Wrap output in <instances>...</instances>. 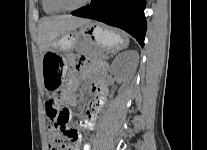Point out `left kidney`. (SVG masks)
<instances>
[{"label": "left kidney", "mask_w": 207, "mask_h": 150, "mask_svg": "<svg viewBox=\"0 0 207 150\" xmlns=\"http://www.w3.org/2000/svg\"><path fill=\"white\" fill-rule=\"evenodd\" d=\"M139 55L131 50L119 54L111 65V73L121 76L125 83L128 82L136 71ZM123 68V70H121Z\"/></svg>", "instance_id": "left-kidney-1"}]
</instances>
